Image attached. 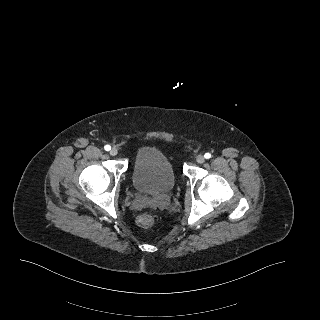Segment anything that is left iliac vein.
Instances as JSON below:
<instances>
[{
  "mask_svg": "<svg viewBox=\"0 0 320 320\" xmlns=\"http://www.w3.org/2000/svg\"><path fill=\"white\" fill-rule=\"evenodd\" d=\"M204 161H205L204 156L198 155V156L196 157V162H197V163L202 164V163H204Z\"/></svg>",
  "mask_w": 320,
  "mask_h": 320,
  "instance_id": "obj_1",
  "label": "left iliac vein"
}]
</instances>
